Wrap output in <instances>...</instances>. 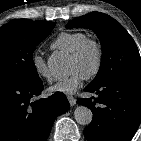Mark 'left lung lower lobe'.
Listing matches in <instances>:
<instances>
[{
  "label": "left lung lower lobe",
  "mask_w": 141,
  "mask_h": 141,
  "mask_svg": "<svg viewBox=\"0 0 141 141\" xmlns=\"http://www.w3.org/2000/svg\"><path fill=\"white\" fill-rule=\"evenodd\" d=\"M97 99L79 98L91 109L93 120L84 129L88 141H131L141 122V78L123 77L98 85H88ZM101 103L97 107L96 103Z\"/></svg>",
  "instance_id": "obj_1"
}]
</instances>
